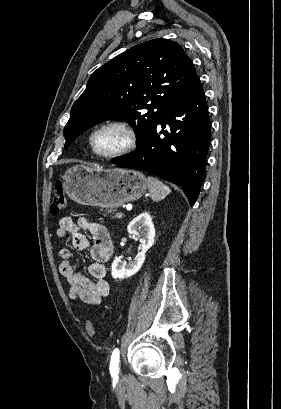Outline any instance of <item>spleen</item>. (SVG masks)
<instances>
[{"instance_id": "spleen-1", "label": "spleen", "mask_w": 281, "mask_h": 409, "mask_svg": "<svg viewBox=\"0 0 281 409\" xmlns=\"http://www.w3.org/2000/svg\"><path fill=\"white\" fill-rule=\"evenodd\" d=\"M148 188L149 194L152 200H163L167 194H170L171 190L167 184H163L161 180L158 178H154V176H148Z\"/></svg>"}]
</instances>
